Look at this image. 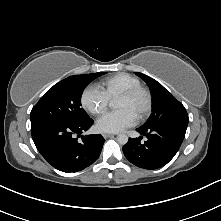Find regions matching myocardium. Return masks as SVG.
<instances>
[{"label": "myocardium", "mask_w": 221, "mask_h": 221, "mask_svg": "<svg viewBox=\"0 0 221 221\" xmlns=\"http://www.w3.org/2000/svg\"><path fill=\"white\" fill-rule=\"evenodd\" d=\"M138 94H144L146 97V105L143 108V110L139 113V115L136 117L138 121H141L145 119L150 112L152 111L153 107V97L150 90L142 85L136 86L133 88H130L124 92H122L117 98H123V99H130L135 97Z\"/></svg>", "instance_id": "myocardium-1"}]
</instances>
